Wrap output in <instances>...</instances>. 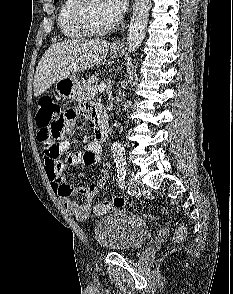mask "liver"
I'll return each mask as SVG.
<instances>
[{"label":"liver","mask_w":233,"mask_h":294,"mask_svg":"<svg viewBox=\"0 0 233 294\" xmlns=\"http://www.w3.org/2000/svg\"><path fill=\"white\" fill-rule=\"evenodd\" d=\"M108 50L109 43L102 40L76 39L52 44L36 68L34 96H40L61 78L99 64Z\"/></svg>","instance_id":"liver-1"}]
</instances>
